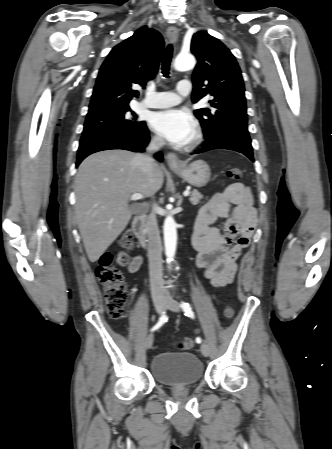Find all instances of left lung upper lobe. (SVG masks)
I'll use <instances>...</instances> for the list:
<instances>
[{
	"label": "left lung upper lobe",
	"instance_id": "5c2ea615",
	"mask_svg": "<svg viewBox=\"0 0 332 449\" xmlns=\"http://www.w3.org/2000/svg\"><path fill=\"white\" fill-rule=\"evenodd\" d=\"M191 51L198 63L192 75L193 103L209 95L213 107L194 111L205 138L232 127L247 128L243 78L230 50L217 38L199 31L193 35Z\"/></svg>",
	"mask_w": 332,
	"mask_h": 449
}]
</instances>
